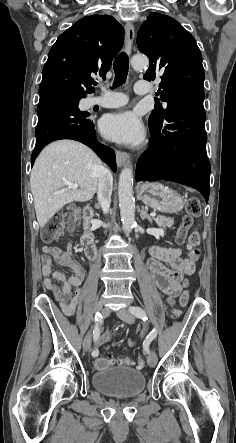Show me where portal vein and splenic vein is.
Segmentation results:
<instances>
[{
    "mask_svg": "<svg viewBox=\"0 0 236 443\" xmlns=\"http://www.w3.org/2000/svg\"><path fill=\"white\" fill-rule=\"evenodd\" d=\"M64 184L67 186L68 189H77L78 188V184L73 183V182H68V181H64ZM151 217H155L156 213H150Z\"/></svg>",
    "mask_w": 236,
    "mask_h": 443,
    "instance_id": "18ae733b",
    "label": "portal vein and splenic vein"
}]
</instances>
